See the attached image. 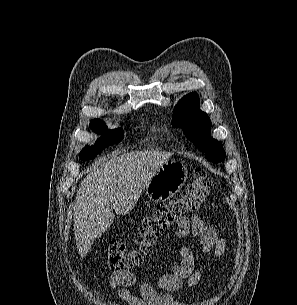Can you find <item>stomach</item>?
Wrapping results in <instances>:
<instances>
[{
	"label": "stomach",
	"instance_id": "stomach-1",
	"mask_svg": "<svg viewBox=\"0 0 297 305\" xmlns=\"http://www.w3.org/2000/svg\"><path fill=\"white\" fill-rule=\"evenodd\" d=\"M186 179L185 165L179 160H168L155 172L145 191L151 201L165 202L179 192Z\"/></svg>",
	"mask_w": 297,
	"mask_h": 305
}]
</instances>
